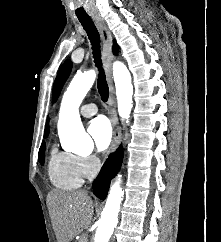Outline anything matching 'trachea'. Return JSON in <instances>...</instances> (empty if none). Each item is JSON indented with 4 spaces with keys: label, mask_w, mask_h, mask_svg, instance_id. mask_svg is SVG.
<instances>
[{
    "label": "trachea",
    "mask_w": 221,
    "mask_h": 242,
    "mask_svg": "<svg viewBox=\"0 0 221 242\" xmlns=\"http://www.w3.org/2000/svg\"><path fill=\"white\" fill-rule=\"evenodd\" d=\"M79 21L83 26L84 30L86 31L91 42L94 62L99 71L97 88L101 96V99L104 102H106L109 97V88L106 82L104 70L102 68V60L100 53V36L93 21L90 18L79 19Z\"/></svg>",
    "instance_id": "trachea-1"
}]
</instances>
